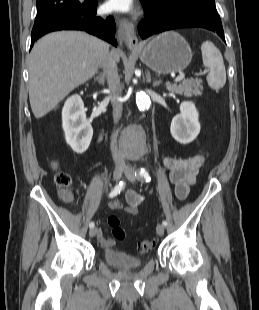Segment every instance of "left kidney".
<instances>
[{
	"instance_id": "1",
	"label": "left kidney",
	"mask_w": 259,
	"mask_h": 310,
	"mask_svg": "<svg viewBox=\"0 0 259 310\" xmlns=\"http://www.w3.org/2000/svg\"><path fill=\"white\" fill-rule=\"evenodd\" d=\"M199 114L194 103L185 101L180 105V114L171 122L170 132L180 144H189L200 132Z\"/></svg>"
}]
</instances>
